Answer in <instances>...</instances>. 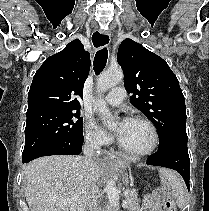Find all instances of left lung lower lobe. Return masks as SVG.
I'll return each instance as SVG.
<instances>
[{"label": "left lung lower lobe", "mask_w": 209, "mask_h": 211, "mask_svg": "<svg viewBox=\"0 0 209 211\" xmlns=\"http://www.w3.org/2000/svg\"><path fill=\"white\" fill-rule=\"evenodd\" d=\"M187 136L177 137L164 148L147 158L146 164L176 170L183 177L188 189L190 179V159L187 149Z\"/></svg>", "instance_id": "obj_1"}]
</instances>
